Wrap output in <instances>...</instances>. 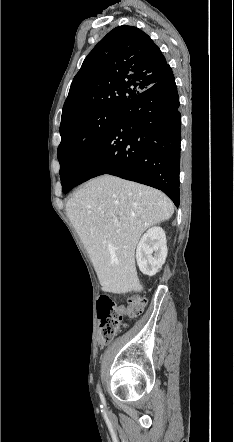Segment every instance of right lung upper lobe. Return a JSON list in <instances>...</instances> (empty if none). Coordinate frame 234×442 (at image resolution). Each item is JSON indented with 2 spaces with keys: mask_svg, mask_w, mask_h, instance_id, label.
<instances>
[{
  "mask_svg": "<svg viewBox=\"0 0 234 442\" xmlns=\"http://www.w3.org/2000/svg\"><path fill=\"white\" fill-rule=\"evenodd\" d=\"M168 66L146 33L133 26L114 28L89 53L74 77L60 132L87 114L123 106L155 84Z\"/></svg>",
  "mask_w": 234,
  "mask_h": 442,
  "instance_id": "cb5924a9",
  "label": "right lung upper lobe"
}]
</instances>
